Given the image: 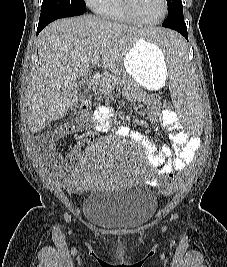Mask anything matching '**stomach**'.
Masks as SVG:
<instances>
[{
    "mask_svg": "<svg viewBox=\"0 0 227 267\" xmlns=\"http://www.w3.org/2000/svg\"><path fill=\"white\" fill-rule=\"evenodd\" d=\"M122 66L134 81L147 89L158 90L165 85L168 75L166 55L158 43L145 41V37L129 49Z\"/></svg>",
    "mask_w": 227,
    "mask_h": 267,
    "instance_id": "obj_1",
    "label": "stomach"
}]
</instances>
